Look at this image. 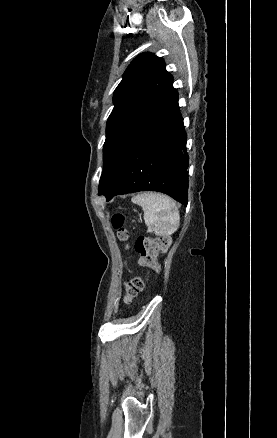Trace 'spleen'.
Segmentation results:
<instances>
[{
  "label": "spleen",
  "mask_w": 277,
  "mask_h": 438,
  "mask_svg": "<svg viewBox=\"0 0 277 438\" xmlns=\"http://www.w3.org/2000/svg\"><path fill=\"white\" fill-rule=\"evenodd\" d=\"M132 202L143 208L147 232H153L155 236H170L179 228V212L168 196L144 192L132 198Z\"/></svg>",
  "instance_id": "1"
}]
</instances>
